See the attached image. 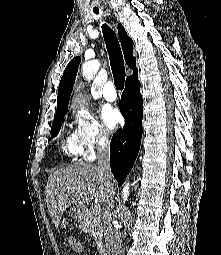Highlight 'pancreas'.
<instances>
[{
	"label": "pancreas",
	"instance_id": "cf45deb5",
	"mask_svg": "<svg viewBox=\"0 0 221 255\" xmlns=\"http://www.w3.org/2000/svg\"><path fill=\"white\" fill-rule=\"evenodd\" d=\"M80 228L94 237L98 246L102 244L103 225L100 211L97 212L94 208L86 209L80 221Z\"/></svg>",
	"mask_w": 221,
	"mask_h": 255
}]
</instances>
